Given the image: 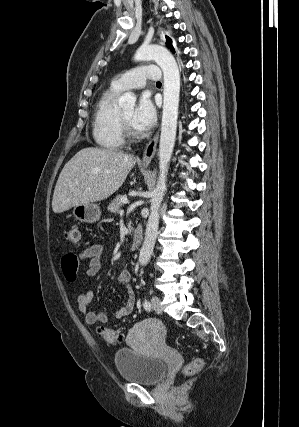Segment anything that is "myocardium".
<instances>
[{"instance_id":"obj_1","label":"myocardium","mask_w":299,"mask_h":427,"mask_svg":"<svg viewBox=\"0 0 299 427\" xmlns=\"http://www.w3.org/2000/svg\"><path fill=\"white\" fill-rule=\"evenodd\" d=\"M119 119L124 135L130 138H135L137 136V133L132 128L131 124L123 117L121 112H119Z\"/></svg>"}]
</instances>
